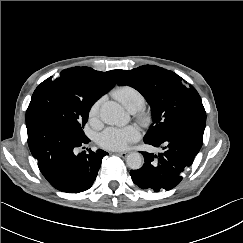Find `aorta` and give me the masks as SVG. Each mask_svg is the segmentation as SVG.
<instances>
[{"instance_id":"762f6f07","label":"aorta","mask_w":243,"mask_h":243,"mask_svg":"<svg viewBox=\"0 0 243 243\" xmlns=\"http://www.w3.org/2000/svg\"><path fill=\"white\" fill-rule=\"evenodd\" d=\"M100 118L108 125L123 126L129 121L123 108L114 101H108L101 106ZM126 163L130 169L138 170L143 165V156L138 152L130 153L126 158Z\"/></svg>"}]
</instances>
